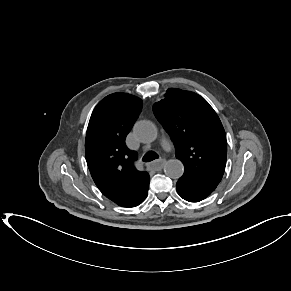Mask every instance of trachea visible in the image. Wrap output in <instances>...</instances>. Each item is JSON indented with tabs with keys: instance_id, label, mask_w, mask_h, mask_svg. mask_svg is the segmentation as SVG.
<instances>
[{
	"instance_id": "trachea-1",
	"label": "trachea",
	"mask_w": 291,
	"mask_h": 291,
	"mask_svg": "<svg viewBox=\"0 0 291 291\" xmlns=\"http://www.w3.org/2000/svg\"><path fill=\"white\" fill-rule=\"evenodd\" d=\"M159 156L157 153L153 152V151H150V152H147L143 158H142V161L143 162H150L152 160H155V159H158Z\"/></svg>"
}]
</instances>
